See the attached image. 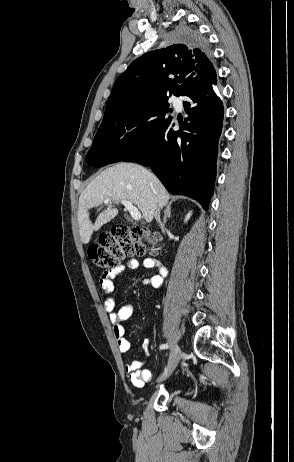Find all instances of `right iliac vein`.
<instances>
[{"label": "right iliac vein", "mask_w": 294, "mask_h": 462, "mask_svg": "<svg viewBox=\"0 0 294 462\" xmlns=\"http://www.w3.org/2000/svg\"><path fill=\"white\" fill-rule=\"evenodd\" d=\"M181 356H182V351L180 347L177 344H175L171 350V354L168 360L167 373L165 376L158 379V382L165 380L167 377H169L173 373V371L175 370V368L177 367L181 359Z\"/></svg>", "instance_id": "1"}]
</instances>
